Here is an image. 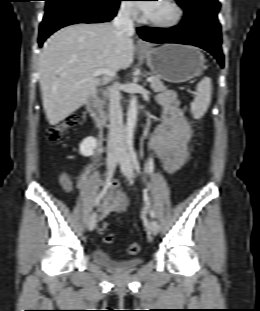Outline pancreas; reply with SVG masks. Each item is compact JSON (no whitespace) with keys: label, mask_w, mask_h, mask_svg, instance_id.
<instances>
[{"label":"pancreas","mask_w":260,"mask_h":311,"mask_svg":"<svg viewBox=\"0 0 260 311\" xmlns=\"http://www.w3.org/2000/svg\"><path fill=\"white\" fill-rule=\"evenodd\" d=\"M152 78L153 81L150 82V87L154 92H163L167 89V87L163 85V82L158 76H152Z\"/></svg>","instance_id":"obj_1"}]
</instances>
